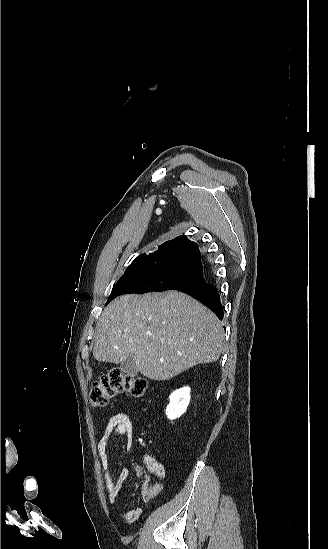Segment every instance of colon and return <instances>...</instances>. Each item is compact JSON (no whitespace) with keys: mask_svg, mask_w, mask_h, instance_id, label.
Returning <instances> with one entry per match:
<instances>
[{"mask_svg":"<svg viewBox=\"0 0 328 549\" xmlns=\"http://www.w3.org/2000/svg\"><path fill=\"white\" fill-rule=\"evenodd\" d=\"M147 390L148 383L145 379L129 376L119 369H112L93 384L89 393V402L93 407H103L119 393L128 392L134 396H142ZM148 489L149 487L145 486V495ZM136 516V513H131L124 518L126 521H132Z\"/></svg>","mask_w":328,"mask_h":549,"instance_id":"obj_1","label":"colon"}]
</instances>
